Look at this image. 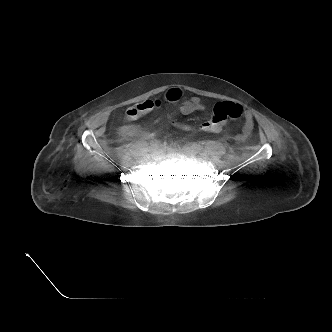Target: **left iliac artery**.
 Here are the masks:
<instances>
[{
  "label": "left iliac artery",
  "instance_id": "44dca946",
  "mask_svg": "<svg viewBox=\"0 0 332 332\" xmlns=\"http://www.w3.org/2000/svg\"><path fill=\"white\" fill-rule=\"evenodd\" d=\"M192 149L195 153H202L203 152V147L199 144H196V143L192 144Z\"/></svg>",
  "mask_w": 332,
  "mask_h": 332
}]
</instances>
